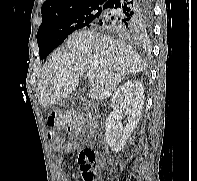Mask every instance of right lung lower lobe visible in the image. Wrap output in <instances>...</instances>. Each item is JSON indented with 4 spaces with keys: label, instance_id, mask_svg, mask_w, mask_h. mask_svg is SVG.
<instances>
[{
    "label": "right lung lower lobe",
    "instance_id": "98d812e1",
    "mask_svg": "<svg viewBox=\"0 0 197 181\" xmlns=\"http://www.w3.org/2000/svg\"><path fill=\"white\" fill-rule=\"evenodd\" d=\"M103 7L110 12L91 26H100L128 36H138L152 20V0H108Z\"/></svg>",
    "mask_w": 197,
    "mask_h": 181
}]
</instances>
